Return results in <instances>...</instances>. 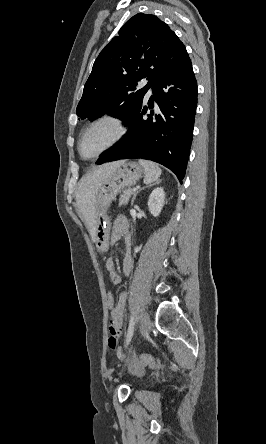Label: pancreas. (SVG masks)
Returning a JSON list of instances; mask_svg holds the SVG:
<instances>
[{
  "label": "pancreas",
  "mask_w": 266,
  "mask_h": 444,
  "mask_svg": "<svg viewBox=\"0 0 266 444\" xmlns=\"http://www.w3.org/2000/svg\"><path fill=\"white\" fill-rule=\"evenodd\" d=\"M133 193L134 192L132 189H125L123 193L120 195L119 206L128 204V201Z\"/></svg>",
  "instance_id": "pancreas-1"
}]
</instances>
